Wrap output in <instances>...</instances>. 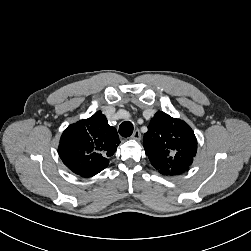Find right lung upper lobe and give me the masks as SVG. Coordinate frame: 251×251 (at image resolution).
Masks as SVG:
<instances>
[{"label":"right lung upper lobe","mask_w":251,"mask_h":251,"mask_svg":"<svg viewBox=\"0 0 251 251\" xmlns=\"http://www.w3.org/2000/svg\"><path fill=\"white\" fill-rule=\"evenodd\" d=\"M119 143L116 129L98 111L63 132L58 153L71 171L82 177H91L107 167Z\"/></svg>","instance_id":"cb5924a9"}]
</instances>
